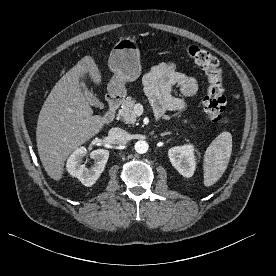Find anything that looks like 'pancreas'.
Here are the masks:
<instances>
[{"label": "pancreas", "mask_w": 276, "mask_h": 276, "mask_svg": "<svg viewBox=\"0 0 276 276\" xmlns=\"http://www.w3.org/2000/svg\"><path fill=\"white\" fill-rule=\"evenodd\" d=\"M135 104L136 99L132 97H127L122 103V107L119 110V117L126 124H134L137 121V116L133 109ZM183 123H187V120H184Z\"/></svg>", "instance_id": "1"}]
</instances>
